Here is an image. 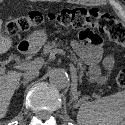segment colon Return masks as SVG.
Here are the masks:
<instances>
[{
    "label": "colon",
    "mask_w": 125,
    "mask_h": 125,
    "mask_svg": "<svg viewBox=\"0 0 125 125\" xmlns=\"http://www.w3.org/2000/svg\"><path fill=\"white\" fill-rule=\"evenodd\" d=\"M40 20L44 17L40 15ZM31 13L27 16H18L10 19L4 24L5 30L16 35L19 32H27L30 30L37 20ZM46 19L55 22L60 26L71 27L73 29H83L80 39L91 40L99 37L92 29L105 33L108 37L115 41L118 45L125 48V25L117 21L109 13L103 12L98 8H67L59 13H49ZM117 83L121 87H125V68L120 70L117 75Z\"/></svg>",
    "instance_id": "5ec220e1"
}]
</instances>
